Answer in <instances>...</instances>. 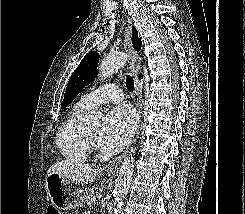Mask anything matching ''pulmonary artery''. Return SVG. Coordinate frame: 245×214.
Wrapping results in <instances>:
<instances>
[{"instance_id":"pulmonary-artery-1","label":"pulmonary artery","mask_w":245,"mask_h":214,"mask_svg":"<svg viewBox=\"0 0 245 214\" xmlns=\"http://www.w3.org/2000/svg\"><path fill=\"white\" fill-rule=\"evenodd\" d=\"M122 91L114 84H104L95 88L81 97L80 102L87 107L101 105L103 103H116L123 99Z\"/></svg>"}]
</instances>
